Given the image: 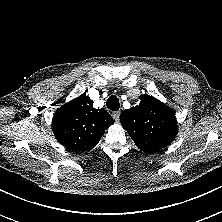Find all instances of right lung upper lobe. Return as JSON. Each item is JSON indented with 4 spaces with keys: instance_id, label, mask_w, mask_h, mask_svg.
<instances>
[{
    "instance_id": "obj_1",
    "label": "right lung upper lobe",
    "mask_w": 222,
    "mask_h": 222,
    "mask_svg": "<svg viewBox=\"0 0 222 222\" xmlns=\"http://www.w3.org/2000/svg\"><path fill=\"white\" fill-rule=\"evenodd\" d=\"M114 123L104 109H95L86 94L57 109L52 130L57 141L72 151H89L94 148L105 130Z\"/></svg>"
}]
</instances>
